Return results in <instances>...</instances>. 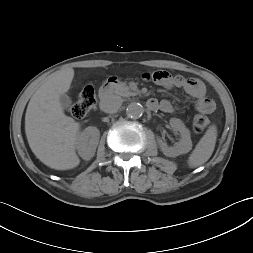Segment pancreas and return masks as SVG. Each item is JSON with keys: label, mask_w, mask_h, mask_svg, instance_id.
<instances>
[{"label": "pancreas", "mask_w": 253, "mask_h": 253, "mask_svg": "<svg viewBox=\"0 0 253 253\" xmlns=\"http://www.w3.org/2000/svg\"><path fill=\"white\" fill-rule=\"evenodd\" d=\"M115 93L119 96H122V97H128V96H133L135 95L134 92H132L130 90V88L126 85V83L124 82H119L117 85H116V88H115Z\"/></svg>", "instance_id": "pancreas-1"}]
</instances>
